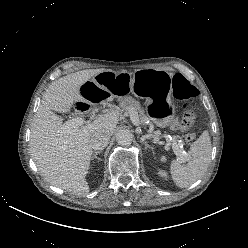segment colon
Masks as SVG:
<instances>
[{"instance_id":"5ec220e1","label":"colon","mask_w":248,"mask_h":248,"mask_svg":"<svg viewBox=\"0 0 248 248\" xmlns=\"http://www.w3.org/2000/svg\"><path fill=\"white\" fill-rule=\"evenodd\" d=\"M172 89L174 96L183 101L182 111L187 118L194 115L195 108L192 104V99L197 96V89L181 74H176L172 80ZM195 133L188 131L185 140L187 143H192L195 139Z\"/></svg>"}]
</instances>
